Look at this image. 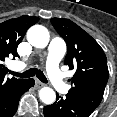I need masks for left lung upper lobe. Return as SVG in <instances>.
<instances>
[{
    "label": "left lung upper lobe",
    "instance_id": "5c2ea615",
    "mask_svg": "<svg viewBox=\"0 0 117 117\" xmlns=\"http://www.w3.org/2000/svg\"><path fill=\"white\" fill-rule=\"evenodd\" d=\"M51 23L67 44L65 65L74 69L68 96L94 111L100 104L109 72L107 59L100 45L69 19L52 18Z\"/></svg>",
    "mask_w": 117,
    "mask_h": 117
}]
</instances>
